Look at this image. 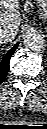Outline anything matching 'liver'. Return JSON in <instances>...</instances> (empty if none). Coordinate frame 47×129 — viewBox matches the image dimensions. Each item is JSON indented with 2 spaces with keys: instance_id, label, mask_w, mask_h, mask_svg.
<instances>
[{
  "instance_id": "6515ba94",
  "label": "liver",
  "mask_w": 47,
  "mask_h": 129,
  "mask_svg": "<svg viewBox=\"0 0 47 129\" xmlns=\"http://www.w3.org/2000/svg\"><path fill=\"white\" fill-rule=\"evenodd\" d=\"M0 6L6 9L0 13V30L7 28L13 30L16 35L21 21L19 0H0Z\"/></svg>"
}]
</instances>
